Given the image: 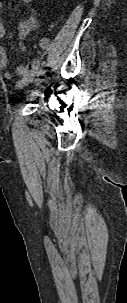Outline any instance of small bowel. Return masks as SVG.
Listing matches in <instances>:
<instances>
[{
    "label": "small bowel",
    "mask_w": 127,
    "mask_h": 303,
    "mask_svg": "<svg viewBox=\"0 0 127 303\" xmlns=\"http://www.w3.org/2000/svg\"><path fill=\"white\" fill-rule=\"evenodd\" d=\"M31 1L32 0H20V2L26 6L28 10L27 18L22 20L17 27V30L21 35L26 34L28 31L36 28L38 25L36 17L31 13L30 10ZM1 8L2 4L0 2V10ZM4 36L5 28L0 20V41H2ZM38 47V55L26 65L19 66L16 70V74L14 75L10 70H8V54L5 48L0 45V70H3V76L6 80L14 82L16 88H23L33 80L41 66L43 57L50 48V40L48 38H41L39 40ZM21 48L24 50L25 45L21 44Z\"/></svg>",
    "instance_id": "c3829d8e"
}]
</instances>
